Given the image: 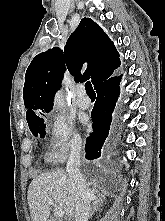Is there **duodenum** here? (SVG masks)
Masks as SVG:
<instances>
[{"label":"duodenum","instance_id":"duodenum-1","mask_svg":"<svg viewBox=\"0 0 165 221\" xmlns=\"http://www.w3.org/2000/svg\"><path fill=\"white\" fill-rule=\"evenodd\" d=\"M48 221H58V220L50 219V220H48Z\"/></svg>","mask_w":165,"mask_h":221}]
</instances>
